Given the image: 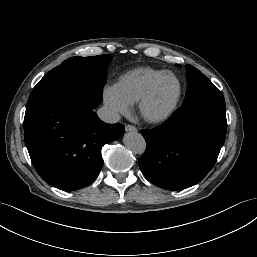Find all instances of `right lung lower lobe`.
I'll return each mask as SVG.
<instances>
[{"label":"right lung lower lobe","instance_id":"right-lung-lower-lobe-1","mask_svg":"<svg viewBox=\"0 0 257 257\" xmlns=\"http://www.w3.org/2000/svg\"><path fill=\"white\" fill-rule=\"evenodd\" d=\"M102 99L82 82L31 92L24 139L36 171L48 184L73 191L98 176L102 146L124 134L122 124H107L93 111Z\"/></svg>","mask_w":257,"mask_h":257}]
</instances>
